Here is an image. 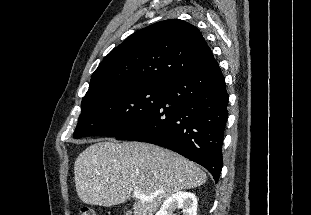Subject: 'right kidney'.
I'll return each instance as SVG.
<instances>
[{
	"instance_id": "right-kidney-1",
	"label": "right kidney",
	"mask_w": 311,
	"mask_h": 215,
	"mask_svg": "<svg viewBox=\"0 0 311 215\" xmlns=\"http://www.w3.org/2000/svg\"><path fill=\"white\" fill-rule=\"evenodd\" d=\"M197 204L195 194L179 191L165 200L156 215H172L176 209H182L183 215H197Z\"/></svg>"
}]
</instances>
